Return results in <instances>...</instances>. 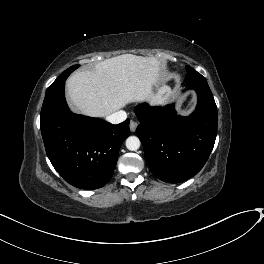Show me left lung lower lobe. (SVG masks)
Listing matches in <instances>:
<instances>
[{
    "mask_svg": "<svg viewBox=\"0 0 264 264\" xmlns=\"http://www.w3.org/2000/svg\"><path fill=\"white\" fill-rule=\"evenodd\" d=\"M198 95L196 112L176 114L173 105L136 106L140 121L136 133L153 175L164 182L179 183L196 175L206 163L217 135V107L203 80H186Z\"/></svg>",
    "mask_w": 264,
    "mask_h": 264,
    "instance_id": "obj_1",
    "label": "left lung lower lobe"
}]
</instances>
